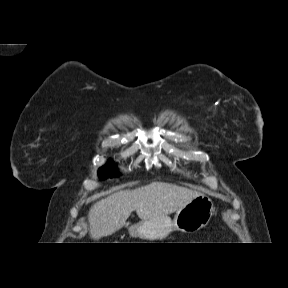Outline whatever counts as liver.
I'll list each match as a JSON object with an SVG mask.
<instances>
[{
  "label": "liver",
  "mask_w": 288,
  "mask_h": 288,
  "mask_svg": "<svg viewBox=\"0 0 288 288\" xmlns=\"http://www.w3.org/2000/svg\"><path fill=\"white\" fill-rule=\"evenodd\" d=\"M198 195L191 189L158 181L134 190L116 192L90 208V236L99 240L115 233L127 224L133 211L142 221L168 216Z\"/></svg>",
  "instance_id": "6515ba94"
}]
</instances>
